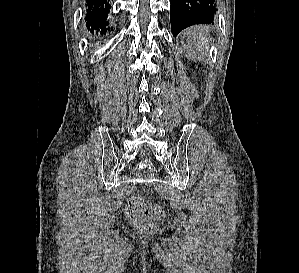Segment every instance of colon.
<instances>
[{
    "label": "colon",
    "instance_id": "5ec220e1",
    "mask_svg": "<svg viewBox=\"0 0 299 273\" xmlns=\"http://www.w3.org/2000/svg\"><path fill=\"white\" fill-rule=\"evenodd\" d=\"M125 215L137 227L143 230H152L154 225L147 219L153 221L162 220L165 216V211L159 205H151L139 196H132L125 208Z\"/></svg>",
    "mask_w": 299,
    "mask_h": 273
}]
</instances>
